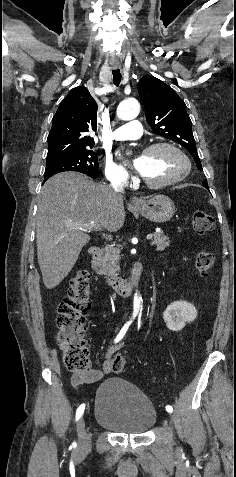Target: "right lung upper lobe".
Here are the masks:
<instances>
[{
    "mask_svg": "<svg viewBox=\"0 0 236 477\" xmlns=\"http://www.w3.org/2000/svg\"><path fill=\"white\" fill-rule=\"evenodd\" d=\"M97 127V103L87 88H73L61 102L48 135L47 161L92 147L88 132Z\"/></svg>",
    "mask_w": 236,
    "mask_h": 477,
    "instance_id": "obj_1",
    "label": "right lung upper lobe"
}]
</instances>
